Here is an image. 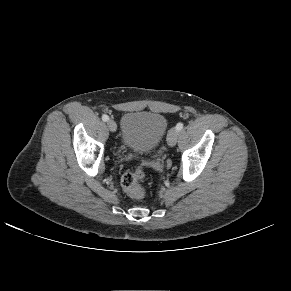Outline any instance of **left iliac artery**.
I'll list each match as a JSON object with an SVG mask.
<instances>
[{
    "mask_svg": "<svg viewBox=\"0 0 291 291\" xmlns=\"http://www.w3.org/2000/svg\"><path fill=\"white\" fill-rule=\"evenodd\" d=\"M176 129L178 130V131H180V130H182L183 129V123H178L177 125H176Z\"/></svg>",
    "mask_w": 291,
    "mask_h": 291,
    "instance_id": "1",
    "label": "left iliac artery"
}]
</instances>
